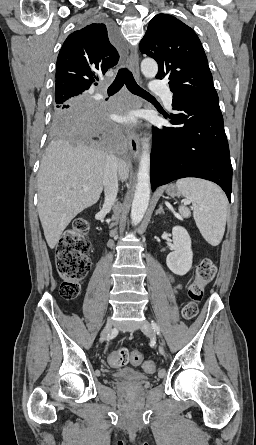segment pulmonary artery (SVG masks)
I'll use <instances>...</instances> for the list:
<instances>
[{"instance_id": "1", "label": "pulmonary artery", "mask_w": 256, "mask_h": 445, "mask_svg": "<svg viewBox=\"0 0 256 445\" xmlns=\"http://www.w3.org/2000/svg\"><path fill=\"white\" fill-rule=\"evenodd\" d=\"M151 90L155 92H161L164 96V103L165 105L171 109L172 108V94L171 92L165 87L164 83L158 79H153L151 83Z\"/></svg>"}]
</instances>
